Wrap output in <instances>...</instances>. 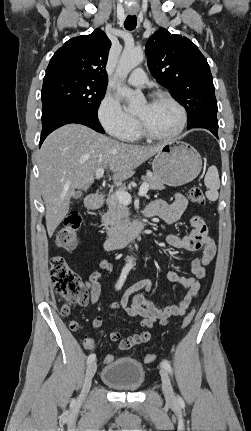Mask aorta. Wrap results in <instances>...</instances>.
I'll list each match as a JSON object with an SVG mask.
<instances>
[{"instance_id":"obj_1","label":"aorta","mask_w":251,"mask_h":431,"mask_svg":"<svg viewBox=\"0 0 251 431\" xmlns=\"http://www.w3.org/2000/svg\"><path fill=\"white\" fill-rule=\"evenodd\" d=\"M144 59L143 51L139 48L126 47L120 57L118 66L116 68V74L121 78L122 81L126 79L131 70L138 66ZM117 93L126 99L129 108H135L139 105V98L136 96L134 91L130 89L124 83H120L117 86ZM127 266L132 268L134 266L133 257H129L127 261Z\"/></svg>"}]
</instances>
